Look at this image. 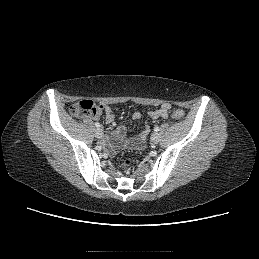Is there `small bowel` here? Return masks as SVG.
I'll return each mask as SVG.
<instances>
[{"mask_svg":"<svg viewBox=\"0 0 259 259\" xmlns=\"http://www.w3.org/2000/svg\"><path fill=\"white\" fill-rule=\"evenodd\" d=\"M105 114V120L107 124H112L114 122V114L113 110L110 106L104 105L100 106L99 113L93 118L96 119L100 114ZM171 114V105L169 103H163L159 108L152 110L148 113L149 117L152 119H168ZM142 117L141 112L135 111L132 114V118L134 120H139ZM150 128L148 125H145L138 136L124 139L125 128L123 126H119L111 135V141H107L104 139L102 141L103 145L110 151L115 152L125 146L140 149L144 146L147 137L149 135Z\"/></svg>","mask_w":259,"mask_h":259,"instance_id":"obj_1","label":"small bowel"}]
</instances>
